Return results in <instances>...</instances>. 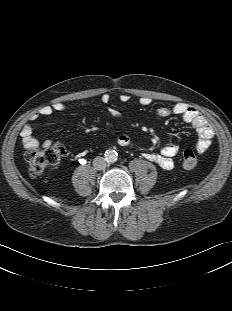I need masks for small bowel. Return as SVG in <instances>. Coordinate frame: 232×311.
Masks as SVG:
<instances>
[{"mask_svg":"<svg viewBox=\"0 0 232 311\" xmlns=\"http://www.w3.org/2000/svg\"><path fill=\"white\" fill-rule=\"evenodd\" d=\"M130 96L127 94H121L119 100L123 103L128 102ZM110 96L108 94H103L101 96L102 103H108ZM140 104L147 106L151 103L149 97H142L139 100ZM67 106L62 101H54L49 105H45L40 108V110L34 114L31 119L37 120L39 117H49L56 112H64ZM110 113L114 117H118V113L111 110ZM158 117H165L168 115L180 116L183 121L190 124L197 132L199 139L196 143V150L199 153L205 152L211 145L212 139L214 137V130L210 123L202 116L195 108L187 106L185 104L179 103L171 107L159 108L156 112ZM23 145L26 149H35L40 146L48 147L52 144L50 139L40 140L34 135V129L30 123H26L20 132ZM118 144L122 147H133V141L127 135H120L117 139ZM179 147L176 144H168L164 146L159 153H144L143 156L148 161L156 163L163 169L170 170L174 168L173 157L177 154Z\"/></svg>","mask_w":232,"mask_h":311,"instance_id":"obj_1","label":"small bowel"}]
</instances>
